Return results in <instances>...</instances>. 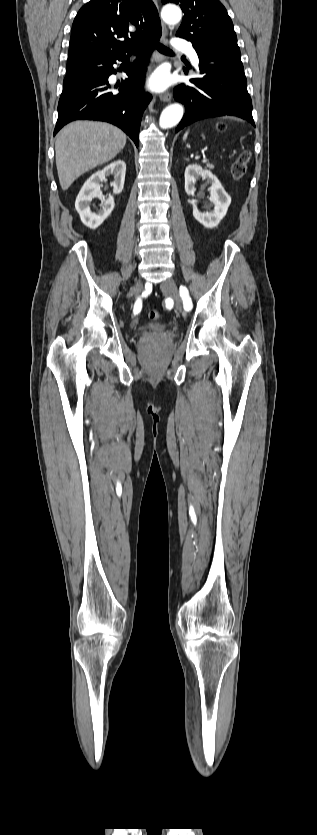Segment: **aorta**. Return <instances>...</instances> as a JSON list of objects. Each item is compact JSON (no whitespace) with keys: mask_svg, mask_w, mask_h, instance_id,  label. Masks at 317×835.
<instances>
[{"mask_svg":"<svg viewBox=\"0 0 317 835\" xmlns=\"http://www.w3.org/2000/svg\"><path fill=\"white\" fill-rule=\"evenodd\" d=\"M161 17L168 25H176L182 18V12L176 5H166L162 8ZM183 112V107L180 104H172L166 107L161 113L159 127L161 129L174 127L182 119Z\"/></svg>","mask_w":317,"mask_h":835,"instance_id":"762f6f07","label":"aorta"}]
</instances>
